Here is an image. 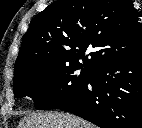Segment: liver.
<instances>
[{
  "instance_id": "6515ba94",
  "label": "liver",
  "mask_w": 142,
  "mask_h": 128,
  "mask_svg": "<svg viewBox=\"0 0 142 128\" xmlns=\"http://www.w3.org/2000/svg\"><path fill=\"white\" fill-rule=\"evenodd\" d=\"M18 128H95V126L69 113L37 112L24 117Z\"/></svg>"
}]
</instances>
